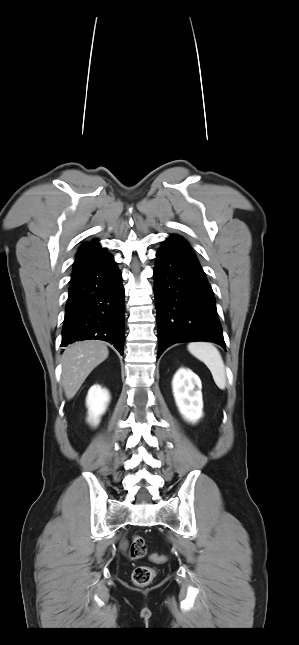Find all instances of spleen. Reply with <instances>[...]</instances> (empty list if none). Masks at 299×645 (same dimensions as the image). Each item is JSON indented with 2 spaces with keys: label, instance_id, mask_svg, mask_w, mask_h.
I'll use <instances>...</instances> for the list:
<instances>
[{
  "label": "spleen",
  "instance_id": "spleen-1",
  "mask_svg": "<svg viewBox=\"0 0 299 645\" xmlns=\"http://www.w3.org/2000/svg\"><path fill=\"white\" fill-rule=\"evenodd\" d=\"M189 352L209 368L215 384L219 389L226 387V371L222 356L218 349L209 342H192L188 345Z\"/></svg>",
  "mask_w": 299,
  "mask_h": 645
}]
</instances>
